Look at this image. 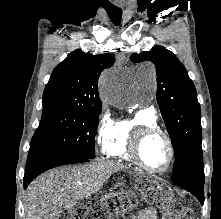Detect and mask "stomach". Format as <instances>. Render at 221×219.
<instances>
[{"label":"stomach","instance_id":"obj_1","mask_svg":"<svg viewBox=\"0 0 221 219\" xmlns=\"http://www.w3.org/2000/svg\"><path fill=\"white\" fill-rule=\"evenodd\" d=\"M139 181L150 184V186H145V190H143V195H146L144 204H165V199H171L170 190H164L159 178H140Z\"/></svg>","mask_w":221,"mask_h":219}]
</instances>
